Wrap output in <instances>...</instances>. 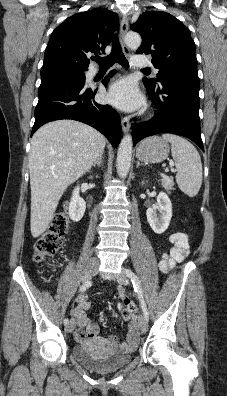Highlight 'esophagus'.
Listing matches in <instances>:
<instances>
[{"label":"esophagus","instance_id":"esophagus-1","mask_svg":"<svg viewBox=\"0 0 227 396\" xmlns=\"http://www.w3.org/2000/svg\"><path fill=\"white\" fill-rule=\"evenodd\" d=\"M127 31H128V17H127V15H124V16L122 17V20H121V27H120V42H121L122 49H123L125 55L129 56V55H130V50H129V48L125 45V42H124V38H125V35H126ZM121 125H122L123 131H124L125 133L128 132L129 129H130V121H129V118H128V117H122V119H121Z\"/></svg>","mask_w":227,"mask_h":396}]
</instances>
